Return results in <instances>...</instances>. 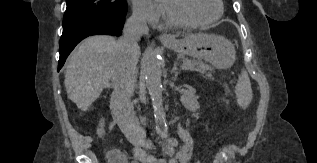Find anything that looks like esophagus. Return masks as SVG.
Here are the masks:
<instances>
[{
	"label": "esophagus",
	"instance_id": "34e87169",
	"mask_svg": "<svg viewBox=\"0 0 317 163\" xmlns=\"http://www.w3.org/2000/svg\"><path fill=\"white\" fill-rule=\"evenodd\" d=\"M158 39L162 42L171 41L172 37L166 33L160 34Z\"/></svg>",
	"mask_w": 317,
	"mask_h": 163
}]
</instances>
